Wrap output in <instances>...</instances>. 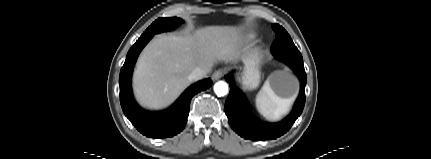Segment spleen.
<instances>
[{
    "instance_id": "obj_1",
    "label": "spleen",
    "mask_w": 431,
    "mask_h": 159,
    "mask_svg": "<svg viewBox=\"0 0 431 159\" xmlns=\"http://www.w3.org/2000/svg\"><path fill=\"white\" fill-rule=\"evenodd\" d=\"M294 100L295 96L288 98L278 96L268 81L265 82L255 99L258 111L272 121L279 120L287 114Z\"/></svg>"
}]
</instances>
